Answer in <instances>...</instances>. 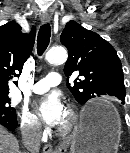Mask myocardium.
Listing matches in <instances>:
<instances>
[{
  "label": "myocardium",
  "mask_w": 130,
  "mask_h": 153,
  "mask_svg": "<svg viewBox=\"0 0 130 153\" xmlns=\"http://www.w3.org/2000/svg\"><path fill=\"white\" fill-rule=\"evenodd\" d=\"M65 113V121L57 129V132L63 136L69 134L78 121V114L72 106H68Z\"/></svg>",
  "instance_id": "f54148a6"
}]
</instances>
